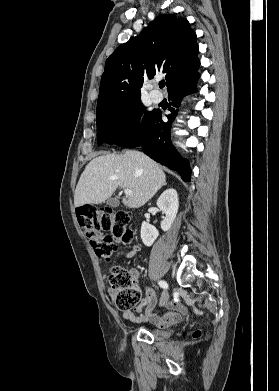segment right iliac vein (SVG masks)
I'll use <instances>...</instances> for the list:
<instances>
[{
	"mask_svg": "<svg viewBox=\"0 0 279 391\" xmlns=\"http://www.w3.org/2000/svg\"><path fill=\"white\" fill-rule=\"evenodd\" d=\"M169 299V294L167 291H164L161 296L160 305L163 306Z\"/></svg>",
	"mask_w": 279,
	"mask_h": 391,
	"instance_id": "1",
	"label": "right iliac vein"
}]
</instances>
